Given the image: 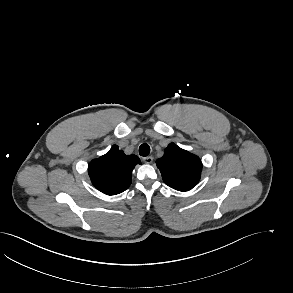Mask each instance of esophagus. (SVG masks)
<instances>
[{
    "label": "esophagus",
    "mask_w": 293,
    "mask_h": 293,
    "mask_svg": "<svg viewBox=\"0 0 293 293\" xmlns=\"http://www.w3.org/2000/svg\"><path fill=\"white\" fill-rule=\"evenodd\" d=\"M143 161H144L146 164H151V163L153 162V157H152V156L144 157V158H143Z\"/></svg>",
    "instance_id": "obj_1"
}]
</instances>
